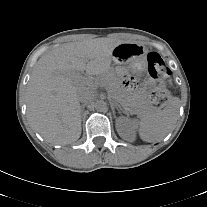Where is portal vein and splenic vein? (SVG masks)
<instances>
[{
	"mask_svg": "<svg viewBox=\"0 0 207 207\" xmlns=\"http://www.w3.org/2000/svg\"><path fill=\"white\" fill-rule=\"evenodd\" d=\"M77 78L80 79V78H82V76H78Z\"/></svg>",
	"mask_w": 207,
	"mask_h": 207,
	"instance_id": "1",
	"label": "portal vein and splenic vein"
}]
</instances>
